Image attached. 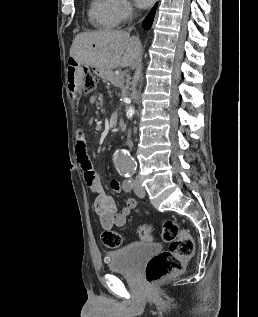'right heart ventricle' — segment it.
<instances>
[{
	"instance_id": "right-heart-ventricle-1",
	"label": "right heart ventricle",
	"mask_w": 258,
	"mask_h": 317,
	"mask_svg": "<svg viewBox=\"0 0 258 317\" xmlns=\"http://www.w3.org/2000/svg\"><path fill=\"white\" fill-rule=\"evenodd\" d=\"M116 0H93L88 17L93 26L100 30H110L117 25Z\"/></svg>"
}]
</instances>
